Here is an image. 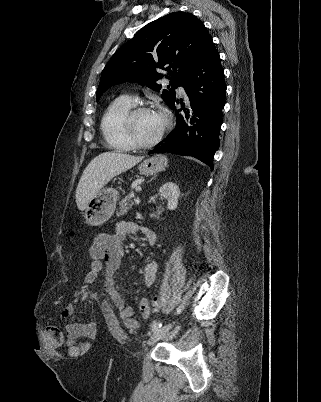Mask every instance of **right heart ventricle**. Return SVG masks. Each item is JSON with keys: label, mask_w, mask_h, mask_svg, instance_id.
<instances>
[{"label": "right heart ventricle", "mask_w": 321, "mask_h": 402, "mask_svg": "<svg viewBox=\"0 0 321 402\" xmlns=\"http://www.w3.org/2000/svg\"><path fill=\"white\" fill-rule=\"evenodd\" d=\"M133 106L134 103L123 97H118L105 109L100 122V130L106 145L110 149L119 152L134 149L127 141L122 129L123 116Z\"/></svg>", "instance_id": "right-heart-ventricle-1"}]
</instances>
